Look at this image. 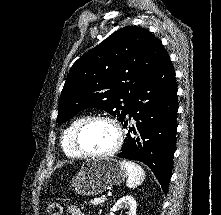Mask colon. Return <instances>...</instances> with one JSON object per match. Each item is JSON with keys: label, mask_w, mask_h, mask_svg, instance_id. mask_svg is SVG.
<instances>
[{"label": "colon", "mask_w": 221, "mask_h": 215, "mask_svg": "<svg viewBox=\"0 0 221 215\" xmlns=\"http://www.w3.org/2000/svg\"><path fill=\"white\" fill-rule=\"evenodd\" d=\"M48 215H62V206L59 203H50L47 207Z\"/></svg>", "instance_id": "1"}]
</instances>
